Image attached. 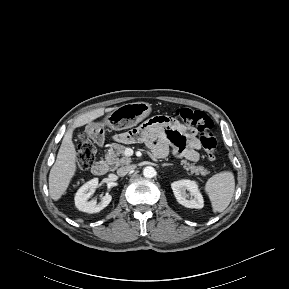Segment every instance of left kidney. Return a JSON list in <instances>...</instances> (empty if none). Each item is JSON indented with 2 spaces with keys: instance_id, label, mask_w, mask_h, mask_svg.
Returning <instances> with one entry per match:
<instances>
[{
  "instance_id": "obj_1",
  "label": "left kidney",
  "mask_w": 289,
  "mask_h": 289,
  "mask_svg": "<svg viewBox=\"0 0 289 289\" xmlns=\"http://www.w3.org/2000/svg\"><path fill=\"white\" fill-rule=\"evenodd\" d=\"M177 201L187 207L201 209L204 206L203 197L195 181L180 180L171 184ZM188 192V193H187Z\"/></svg>"
}]
</instances>
